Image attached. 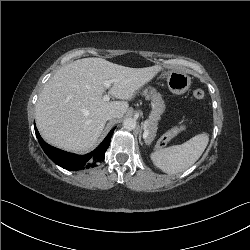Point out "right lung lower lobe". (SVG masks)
I'll return each instance as SVG.
<instances>
[{"label": "right lung lower lobe", "instance_id": "1", "mask_svg": "<svg viewBox=\"0 0 250 250\" xmlns=\"http://www.w3.org/2000/svg\"><path fill=\"white\" fill-rule=\"evenodd\" d=\"M114 129L109 132L103 142L94 151L86 155H76L50 146L41 138L36 126L35 133L43 151L55 164L64 169L75 171L95 167L97 163L104 160L105 152L109 147Z\"/></svg>", "mask_w": 250, "mask_h": 250}]
</instances>
